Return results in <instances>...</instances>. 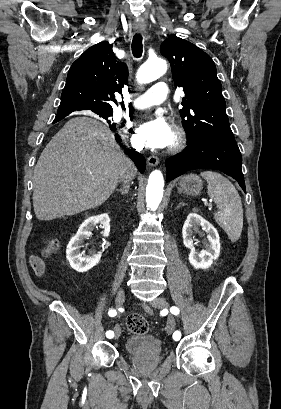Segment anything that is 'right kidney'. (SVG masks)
Masks as SVG:
<instances>
[{
    "label": "right kidney",
    "mask_w": 281,
    "mask_h": 409,
    "mask_svg": "<svg viewBox=\"0 0 281 409\" xmlns=\"http://www.w3.org/2000/svg\"><path fill=\"white\" fill-rule=\"evenodd\" d=\"M97 223H100V225L104 227L103 237H109L110 219L107 213H103V215H94V217L85 219L84 223L80 225L76 235L72 237L67 245V249H69L71 255V267L75 269V271H78V273L90 271L92 267H95V265L99 263L102 257V253H90L87 257H82V253H80L84 241L92 235L91 231H93Z\"/></svg>",
    "instance_id": "obj_1"
}]
</instances>
